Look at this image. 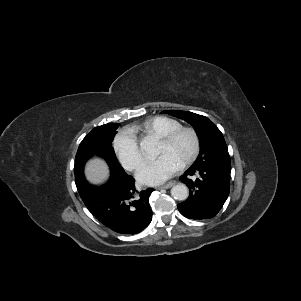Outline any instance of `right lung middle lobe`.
<instances>
[{"mask_svg":"<svg viewBox=\"0 0 301 301\" xmlns=\"http://www.w3.org/2000/svg\"><path fill=\"white\" fill-rule=\"evenodd\" d=\"M118 126V123H109L96 127L82 140L75 157L74 173L76 182L84 180V164L93 156L102 157L107 161L111 169H123L112 147V141L117 133L116 129Z\"/></svg>","mask_w":301,"mask_h":301,"instance_id":"right-lung-middle-lobe-1","label":"right lung middle lobe"}]
</instances>
